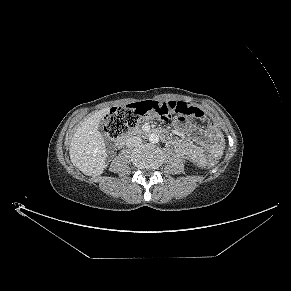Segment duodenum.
Returning <instances> with one entry per match:
<instances>
[{
	"label": "duodenum",
	"mask_w": 291,
	"mask_h": 291,
	"mask_svg": "<svg viewBox=\"0 0 291 291\" xmlns=\"http://www.w3.org/2000/svg\"><path fill=\"white\" fill-rule=\"evenodd\" d=\"M137 134H138V132L133 131V132H131V133H129V134H127V135H125V136L119 138V139L116 141V146L119 147V148H120V147H123V146L126 144V142H127L128 140H130L131 138L135 137Z\"/></svg>",
	"instance_id": "obj_1"
}]
</instances>
